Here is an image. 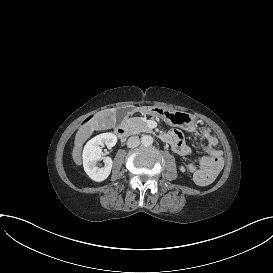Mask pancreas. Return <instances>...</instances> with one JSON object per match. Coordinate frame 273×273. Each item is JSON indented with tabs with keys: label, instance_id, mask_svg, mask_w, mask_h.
Masks as SVG:
<instances>
[{
	"label": "pancreas",
	"instance_id": "pancreas-1",
	"mask_svg": "<svg viewBox=\"0 0 273 273\" xmlns=\"http://www.w3.org/2000/svg\"><path fill=\"white\" fill-rule=\"evenodd\" d=\"M127 126L132 130L133 134H139L141 132H152L148 128L147 123L143 121L140 117H132L126 121Z\"/></svg>",
	"mask_w": 273,
	"mask_h": 273
}]
</instances>
